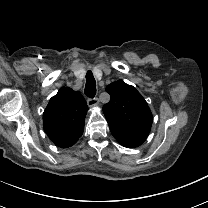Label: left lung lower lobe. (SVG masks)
Segmentation results:
<instances>
[{
  "mask_svg": "<svg viewBox=\"0 0 208 208\" xmlns=\"http://www.w3.org/2000/svg\"><path fill=\"white\" fill-rule=\"evenodd\" d=\"M114 138L124 147L134 148L141 145L148 137V132L141 133L109 127Z\"/></svg>",
  "mask_w": 208,
  "mask_h": 208,
  "instance_id": "1",
  "label": "left lung lower lobe"
}]
</instances>
